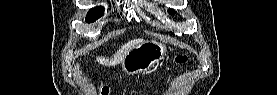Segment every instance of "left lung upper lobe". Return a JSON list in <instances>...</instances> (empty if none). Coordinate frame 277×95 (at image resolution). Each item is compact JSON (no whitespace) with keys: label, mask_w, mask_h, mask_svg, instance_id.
<instances>
[{"label":"left lung upper lobe","mask_w":277,"mask_h":95,"mask_svg":"<svg viewBox=\"0 0 277 95\" xmlns=\"http://www.w3.org/2000/svg\"><path fill=\"white\" fill-rule=\"evenodd\" d=\"M168 12H169V14H174V13H176V11L173 10V9H169Z\"/></svg>","instance_id":"1"}]
</instances>
